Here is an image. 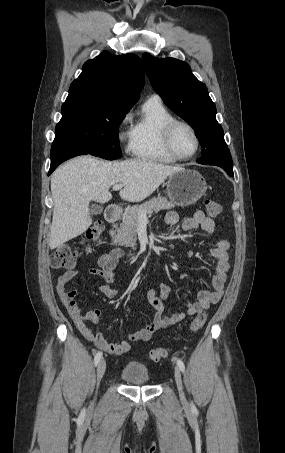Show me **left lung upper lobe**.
I'll return each mask as SVG.
<instances>
[{
  "instance_id": "left-lung-upper-lobe-1",
  "label": "left lung upper lobe",
  "mask_w": 285,
  "mask_h": 453,
  "mask_svg": "<svg viewBox=\"0 0 285 453\" xmlns=\"http://www.w3.org/2000/svg\"><path fill=\"white\" fill-rule=\"evenodd\" d=\"M147 76L164 103L182 117L195 131L202 147L200 164L233 169L224 132L216 120V107L204 83L190 66L174 58H154L143 54Z\"/></svg>"
}]
</instances>
